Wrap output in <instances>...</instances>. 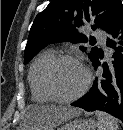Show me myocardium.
Instances as JSON below:
<instances>
[{"label": "myocardium", "mask_w": 123, "mask_h": 130, "mask_svg": "<svg viewBox=\"0 0 123 130\" xmlns=\"http://www.w3.org/2000/svg\"><path fill=\"white\" fill-rule=\"evenodd\" d=\"M64 61H75L79 63L86 74V79L83 86L76 93L70 96L62 95L57 90L55 81H54L55 71L57 67L59 66V64ZM91 82H92V74L90 70L82 63V61L79 58L69 53H62V54L55 55V57L51 60V62L48 64L45 70V75H44L45 87L48 93L51 95V97L55 101H58L61 103H69V102H73L79 99L81 96H83L86 93V91L90 87Z\"/></svg>", "instance_id": "f54148a6"}]
</instances>
